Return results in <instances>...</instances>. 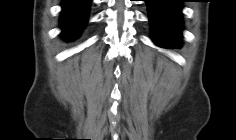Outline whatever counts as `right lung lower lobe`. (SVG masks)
<instances>
[{"label":"right lung lower lobe","mask_w":236,"mask_h":140,"mask_svg":"<svg viewBox=\"0 0 236 140\" xmlns=\"http://www.w3.org/2000/svg\"><path fill=\"white\" fill-rule=\"evenodd\" d=\"M91 0H62L60 26L65 40L77 37L88 20Z\"/></svg>","instance_id":"obj_1"}]
</instances>
